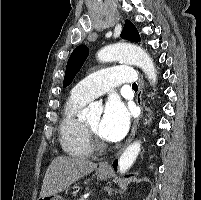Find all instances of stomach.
<instances>
[{"mask_svg":"<svg viewBox=\"0 0 201 200\" xmlns=\"http://www.w3.org/2000/svg\"><path fill=\"white\" fill-rule=\"evenodd\" d=\"M109 175H110L109 170L97 169V171H96V176L100 180L107 179ZM40 200H63V198L57 194H53V195H49V196H45V197H40Z\"/></svg>","mask_w":201,"mask_h":200,"instance_id":"obj_1","label":"stomach"}]
</instances>
